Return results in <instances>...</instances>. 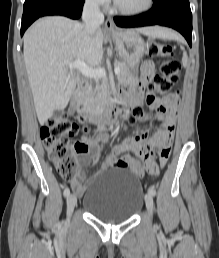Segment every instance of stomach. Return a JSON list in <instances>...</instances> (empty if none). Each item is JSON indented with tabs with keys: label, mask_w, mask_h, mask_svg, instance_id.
Returning a JSON list of instances; mask_svg holds the SVG:
<instances>
[{
	"label": "stomach",
	"mask_w": 219,
	"mask_h": 258,
	"mask_svg": "<svg viewBox=\"0 0 219 258\" xmlns=\"http://www.w3.org/2000/svg\"><path fill=\"white\" fill-rule=\"evenodd\" d=\"M111 36L116 43L119 56L129 67L135 68L146 53V45L138 32L131 29L120 30Z\"/></svg>",
	"instance_id": "obj_1"
}]
</instances>
